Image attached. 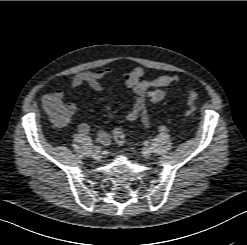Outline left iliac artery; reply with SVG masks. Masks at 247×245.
Here are the masks:
<instances>
[{
	"label": "left iliac artery",
	"mask_w": 247,
	"mask_h": 245,
	"mask_svg": "<svg viewBox=\"0 0 247 245\" xmlns=\"http://www.w3.org/2000/svg\"><path fill=\"white\" fill-rule=\"evenodd\" d=\"M165 130H166V127L165 126L162 125V126L159 127V131L160 132H164Z\"/></svg>",
	"instance_id": "1"
}]
</instances>
